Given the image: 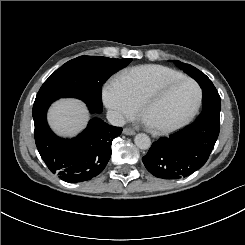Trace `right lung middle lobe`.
I'll list each match as a JSON object with an SVG mask.
<instances>
[{
	"label": "right lung middle lobe",
	"instance_id": "right-lung-middle-lobe-1",
	"mask_svg": "<svg viewBox=\"0 0 245 245\" xmlns=\"http://www.w3.org/2000/svg\"><path fill=\"white\" fill-rule=\"evenodd\" d=\"M131 60L101 56H80L72 59L51 74L40 88L34 103L47 99L75 97L83 100L91 111L101 113L102 85Z\"/></svg>",
	"mask_w": 245,
	"mask_h": 245
}]
</instances>
